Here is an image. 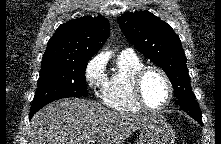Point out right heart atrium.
I'll return each instance as SVG.
<instances>
[{"label": "right heart atrium", "mask_w": 221, "mask_h": 144, "mask_svg": "<svg viewBox=\"0 0 221 144\" xmlns=\"http://www.w3.org/2000/svg\"><path fill=\"white\" fill-rule=\"evenodd\" d=\"M85 80L92 92L104 98L108 86L106 74V61L103 56L96 55L87 64L85 68Z\"/></svg>", "instance_id": "right-heart-atrium-1"}]
</instances>
